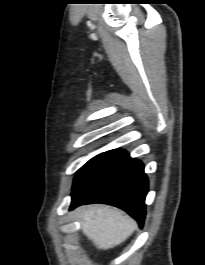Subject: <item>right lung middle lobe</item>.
I'll use <instances>...</instances> for the list:
<instances>
[{
	"label": "right lung middle lobe",
	"instance_id": "obj_1",
	"mask_svg": "<svg viewBox=\"0 0 205 265\" xmlns=\"http://www.w3.org/2000/svg\"><path fill=\"white\" fill-rule=\"evenodd\" d=\"M103 154L104 153L95 156L78 170L74 178L73 188L78 184V182L84 177V175L91 169V167L100 159Z\"/></svg>",
	"mask_w": 205,
	"mask_h": 265
}]
</instances>
